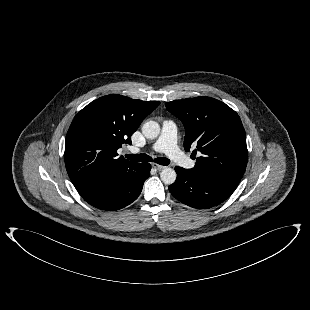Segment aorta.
<instances>
[{
	"mask_svg": "<svg viewBox=\"0 0 310 310\" xmlns=\"http://www.w3.org/2000/svg\"><path fill=\"white\" fill-rule=\"evenodd\" d=\"M142 133L148 139H155L160 133V125L155 121H147L142 126ZM176 172L170 167L164 168L160 173V178L164 184H173L176 180Z\"/></svg>",
	"mask_w": 310,
	"mask_h": 310,
	"instance_id": "obj_1",
	"label": "aorta"
}]
</instances>
